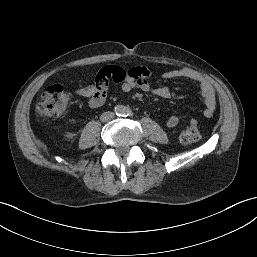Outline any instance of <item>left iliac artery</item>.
Listing matches in <instances>:
<instances>
[{
  "label": "left iliac artery",
  "instance_id": "44dca946",
  "mask_svg": "<svg viewBox=\"0 0 257 257\" xmlns=\"http://www.w3.org/2000/svg\"><path fill=\"white\" fill-rule=\"evenodd\" d=\"M132 115H133V112L129 108L124 109V116H132Z\"/></svg>",
  "mask_w": 257,
  "mask_h": 257
}]
</instances>
